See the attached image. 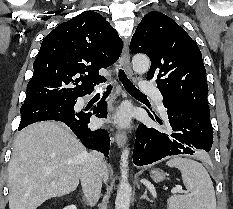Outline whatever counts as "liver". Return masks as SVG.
<instances>
[{
	"label": "liver",
	"mask_w": 233,
	"mask_h": 209,
	"mask_svg": "<svg viewBox=\"0 0 233 209\" xmlns=\"http://www.w3.org/2000/svg\"><path fill=\"white\" fill-rule=\"evenodd\" d=\"M13 148L8 167L9 209H36L78 187L88 152L63 125L32 124L16 136ZM102 174L107 181L106 165Z\"/></svg>",
	"instance_id": "1"
}]
</instances>
